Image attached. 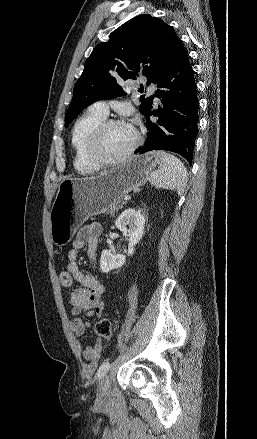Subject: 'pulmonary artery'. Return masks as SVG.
Returning <instances> with one entry per match:
<instances>
[{
  "instance_id": "obj_1",
  "label": "pulmonary artery",
  "mask_w": 257,
  "mask_h": 439,
  "mask_svg": "<svg viewBox=\"0 0 257 439\" xmlns=\"http://www.w3.org/2000/svg\"><path fill=\"white\" fill-rule=\"evenodd\" d=\"M147 94L154 98L155 103H159V99L156 96V88L154 86H150L147 90ZM91 109L95 112H98L102 115H107L108 107L104 101H98L92 104Z\"/></svg>"
}]
</instances>
